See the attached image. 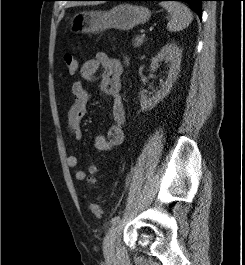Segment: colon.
<instances>
[{
    "mask_svg": "<svg viewBox=\"0 0 245 265\" xmlns=\"http://www.w3.org/2000/svg\"><path fill=\"white\" fill-rule=\"evenodd\" d=\"M63 59H64L65 66L67 70L69 71V73L74 74L78 69V61L76 60L74 55L71 53H66ZM89 173H90V182L92 183L95 182V175L97 173V167L95 165H91L89 167ZM89 208L94 215L99 216L102 213V209L100 205L95 202H91L89 204Z\"/></svg>",
    "mask_w": 245,
    "mask_h": 265,
    "instance_id": "1",
    "label": "colon"
}]
</instances>
